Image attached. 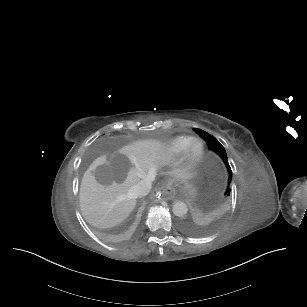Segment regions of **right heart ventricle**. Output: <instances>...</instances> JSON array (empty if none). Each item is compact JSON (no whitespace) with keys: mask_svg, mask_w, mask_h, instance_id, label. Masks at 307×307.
I'll list each match as a JSON object with an SVG mask.
<instances>
[{"mask_svg":"<svg viewBox=\"0 0 307 307\" xmlns=\"http://www.w3.org/2000/svg\"><path fill=\"white\" fill-rule=\"evenodd\" d=\"M192 140L188 135H177L159 145L160 153L167 159L179 158Z\"/></svg>","mask_w":307,"mask_h":307,"instance_id":"e07e8e85","label":"right heart ventricle"}]
</instances>
